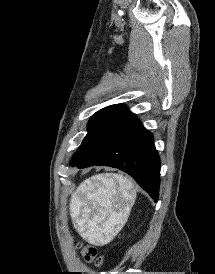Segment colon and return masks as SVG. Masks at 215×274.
Instances as JSON below:
<instances>
[{"label":"colon","mask_w":215,"mask_h":274,"mask_svg":"<svg viewBox=\"0 0 215 274\" xmlns=\"http://www.w3.org/2000/svg\"><path fill=\"white\" fill-rule=\"evenodd\" d=\"M81 255L85 262L95 266H101L103 258L99 255L98 249L94 246H86L81 249Z\"/></svg>","instance_id":"1"}]
</instances>
